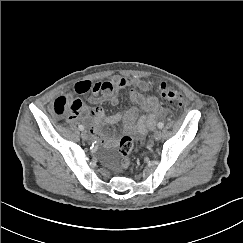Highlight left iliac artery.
Wrapping results in <instances>:
<instances>
[{
	"label": "left iliac artery",
	"mask_w": 243,
	"mask_h": 243,
	"mask_svg": "<svg viewBox=\"0 0 243 243\" xmlns=\"http://www.w3.org/2000/svg\"><path fill=\"white\" fill-rule=\"evenodd\" d=\"M157 127H158L159 129H162V128L164 127V124H163L162 122H159V123L157 124Z\"/></svg>",
	"instance_id": "1"
}]
</instances>
